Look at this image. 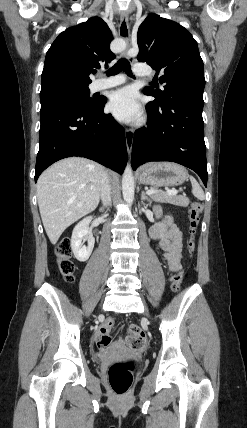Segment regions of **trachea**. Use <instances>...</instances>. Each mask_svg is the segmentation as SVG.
<instances>
[{
  "instance_id": "3493384b",
  "label": "trachea",
  "mask_w": 247,
  "mask_h": 428,
  "mask_svg": "<svg viewBox=\"0 0 247 428\" xmlns=\"http://www.w3.org/2000/svg\"><path fill=\"white\" fill-rule=\"evenodd\" d=\"M124 71L128 76H132L130 63L122 58L112 68L107 71V75H116L121 71Z\"/></svg>"
}]
</instances>
